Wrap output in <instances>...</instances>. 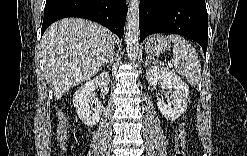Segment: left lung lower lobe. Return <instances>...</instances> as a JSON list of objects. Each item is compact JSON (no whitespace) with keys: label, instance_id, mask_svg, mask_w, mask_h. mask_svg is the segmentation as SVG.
<instances>
[{"label":"left lung lower lobe","instance_id":"left-lung-lower-lobe-1","mask_svg":"<svg viewBox=\"0 0 247 156\" xmlns=\"http://www.w3.org/2000/svg\"><path fill=\"white\" fill-rule=\"evenodd\" d=\"M140 41L154 33L184 35L203 48L208 44V15L205 0H141Z\"/></svg>","mask_w":247,"mask_h":156}]
</instances>
